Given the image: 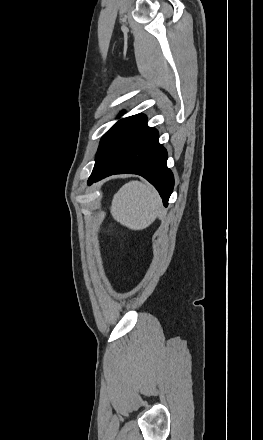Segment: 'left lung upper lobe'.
Returning a JSON list of instances; mask_svg holds the SVG:
<instances>
[{
  "label": "left lung upper lobe",
  "mask_w": 263,
  "mask_h": 440,
  "mask_svg": "<svg viewBox=\"0 0 263 440\" xmlns=\"http://www.w3.org/2000/svg\"><path fill=\"white\" fill-rule=\"evenodd\" d=\"M134 116L119 120L104 134L100 141L98 152L95 158V166L93 172L101 171L103 167L107 164L120 139L122 138L126 128L130 124Z\"/></svg>",
  "instance_id": "1"
}]
</instances>
